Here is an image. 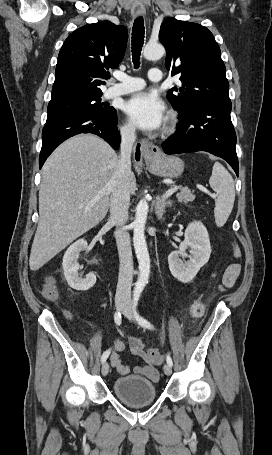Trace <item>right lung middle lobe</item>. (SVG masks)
Instances as JSON below:
<instances>
[{
    "mask_svg": "<svg viewBox=\"0 0 272 455\" xmlns=\"http://www.w3.org/2000/svg\"><path fill=\"white\" fill-rule=\"evenodd\" d=\"M102 94L77 96L52 101L48 104L47 118L68 113H93L102 116L112 115L116 110L101 103Z\"/></svg>",
    "mask_w": 272,
    "mask_h": 455,
    "instance_id": "obj_1",
    "label": "right lung middle lobe"
}]
</instances>
